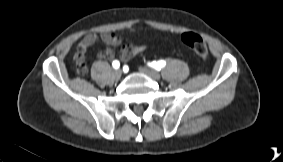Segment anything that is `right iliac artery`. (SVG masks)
<instances>
[{"label":"right iliac artery","mask_w":283,"mask_h":162,"mask_svg":"<svg viewBox=\"0 0 283 162\" xmlns=\"http://www.w3.org/2000/svg\"><path fill=\"white\" fill-rule=\"evenodd\" d=\"M112 65H113V67H114L115 69H117V68H119L120 63H119L118 60H114L113 63H112Z\"/></svg>","instance_id":"82829eb1"}]
</instances>
